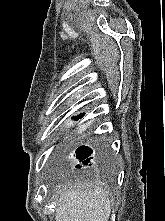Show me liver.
I'll return each instance as SVG.
<instances>
[{
	"instance_id": "6515ba94",
	"label": "liver",
	"mask_w": 165,
	"mask_h": 221,
	"mask_svg": "<svg viewBox=\"0 0 165 221\" xmlns=\"http://www.w3.org/2000/svg\"><path fill=\"white\" fill-rule=\"evenodd\" d=\"M110 200L102 188L70 184L57 197L56 221H108Z\"/></svg>"
}]
</instances>
